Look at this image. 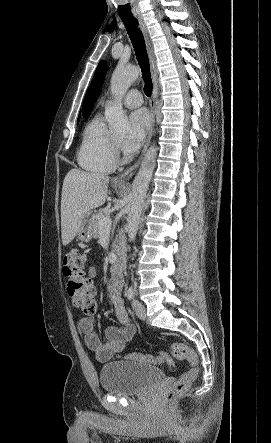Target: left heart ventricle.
I'll return each instance as SVG.
<instances>
[{"mask_svg": "<svg viewBox=\"0 0 271 443\" xmlns=\"http://www.w3.org/2000/svg\"><path fill=\"white\" fill-rule=\"evenodd\" d=\"M125 135H117L115 136V139L120 143L123 141Z\"/></svg>", "mask_w": 271, "mask_h": 443, "instance_id": "1", "label": "left heart ventricle"}]
</instances>
